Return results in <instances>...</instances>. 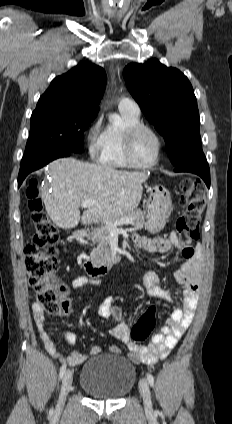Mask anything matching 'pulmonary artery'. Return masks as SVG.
Returning a JSON list of instances; mask_svg holds the SVG:
<instances>
[{"instance_id":"pulmonary-artery-1","label":"pulmonary artery","mask_w":232,"mask_h":424,"mask_svg":"<svg viewBox=\"0 0 232 424\" xmlns=\"http://www.w3.org/2000/svg\"><path fill=\"white\" fill-rule=\"evenodd\" d=\"M119 110H128L140 114L139 105L128 97H122L118 102Z\"/></svg>"}]
</instances>
